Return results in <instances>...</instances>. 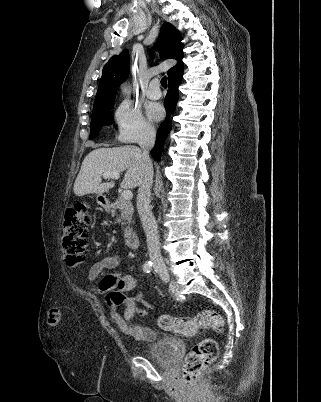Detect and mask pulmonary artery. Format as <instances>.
Returning a JSON list of instances; mask_svg holds the SVG:
<instances>
[{
  "label": "pulmonary artery",
  "mask_w": 321,
  "mask_h": 402,
  "mask_svg": "<svg viewBox=\"0 0 321 402\" xmlns=\"http://www.w3.org/2000/svg\"><path fill=\"white\" fill-rule=\"evenodd\" d=\"M146 95L151 100H157L161 97V91L159 88V81L158 79H153L146 91Z\"/></svg>",
  "instance_id": "e3ab8cb5"
}]
</instances>
